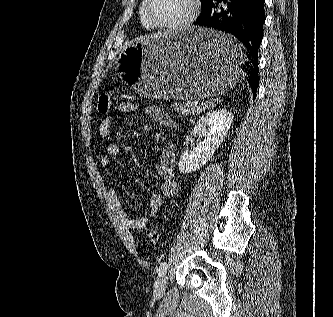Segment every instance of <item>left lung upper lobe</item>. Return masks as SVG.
<instances>
[{"instance_id":"5c2ea615","label":"left lung upper lobe","mask_w":333,"mask_h":317,"mask_svg":"<svg viewBox=\"0 0 333 317\" xmlns=\"http://www.w3.org/2000/svg\"><path fill=\"white\" fill-rule=\"evenodd\" d=\"M200 1L202 6V11H204L207 5L209 4L210 0H200Z\"/></svg>"}]
</instances>
